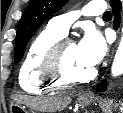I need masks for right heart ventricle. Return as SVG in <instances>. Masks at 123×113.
Listing matches in <instances>:
<instances>
[{"label":"right heart ventricle","mask_w":123,"mask_h":113,"mask_svg":"<svg viewBox=\"0 0 123 113\" xmlns=\"http://www.w3.org/2000/svg\"><path fill=\"white\" fill-rule=\"evenodd\" d=\"M64 35L49 26L32 41L19 70V84L23 90L32 94H42L62 86L45 77L42 62L53 44Z\"/></svg>","instance_id":"e07e8e85"}]
</instances>
